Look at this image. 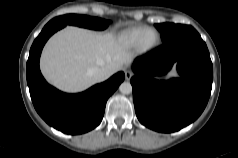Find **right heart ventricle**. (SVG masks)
I'll return each instance as SVG.
<instances>
[{
    "label": "right heart ventricle",
    "instance_id": "e07e8e85",
    "mask_svg": "<svg viewBox=\"0 0 238 158\" xmlns=\"http://www.w3.org/2000/svg\"><path fill=\"white\" fill-rule=\"evenodd\" d=\"M146 29L147 27L145 26H137V27L129 28L121 34L120 39L125 45L129 47H134L138 44V40L141 34Z\"/></svg>",
    "mask_w": 238,
    "mask_h": 158
}]
</instances>
